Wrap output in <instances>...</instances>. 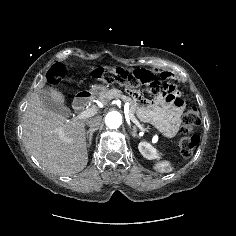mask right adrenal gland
Wrapping results in <instances>:
<instances>
[{"label":"right adrenal gland","mask_w":236,"mask_h":236,"mask_svg":"<svg viewBox=\"0 0 236 236\" xmlns=\"http://www.w3.org/2000/svg\"><path fill=\"white\" fill-rule=\"evenodd\" d=\"M96 130H97V129H89V130L86 132V140L88 141V142H87L88 147H90L91 144H92L93 133H94Z\"/></svg>","instance_id":"1"}]
</instances>
